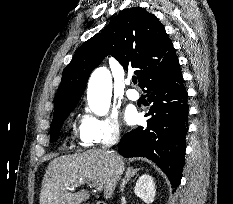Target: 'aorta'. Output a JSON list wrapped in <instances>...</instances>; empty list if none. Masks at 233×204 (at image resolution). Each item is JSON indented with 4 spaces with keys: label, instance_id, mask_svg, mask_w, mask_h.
Listing matches in <instances>:
<instances>
[{
    "label": "aorta",
    "instance_id": "aorta-1",
    "mask_svg": "<svg viewBox=\"0 0 233 204\" xmlns=\"http://www.w3.org/2000/svg\"><path fill=\"white\" fill-rule=\"evenodd\" d=\"M112 96V78L105 67H99L92 73L87 89V101L91 111L104 116L108 113Z\"/></svg>",
    "mask_w": 233,
    "mask_h": 204
}]
</instances>
